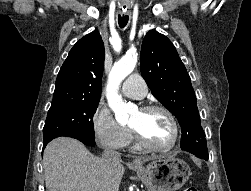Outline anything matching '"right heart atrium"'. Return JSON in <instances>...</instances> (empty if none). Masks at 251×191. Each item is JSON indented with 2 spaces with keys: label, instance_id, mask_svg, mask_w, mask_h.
Masks as SVG:
<instances>
[{
  "label": "right heart atrium",
  "instance_id": "right-heart-atrium-1",
  "mask_svg": "<svg viewBox=\"0 0 251 191\" xmlns=\"http://www.w3.org/2000/svg\"><path fill=\"white\" fill-rule=\"evenodd\" d=\"M90 123L95 141L103 148L121 149L132 139L130 128L117 122L109 110L101 104L94 110Z\"/></svg>",
  "mask_w": 251,
  "mask_h": 191
}]
</instances>
